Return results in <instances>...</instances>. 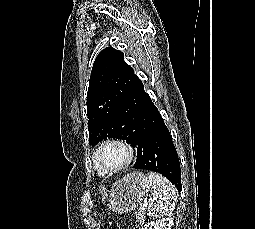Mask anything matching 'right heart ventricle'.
Listing matches in <instances>:
<instances>
[{"label": "right heart ventricle", "instance_id": "right-heart-ventricle-1", "mask_svg": "<svg viewBox=\"0 0 255 229\" xmlns=\"http://www.w3.org/2000/svg\"><path fill=\"white\" fill-rule=\"evenodd\" d=\"M95 168H96L97 172H98L100 175H104V174H105V172H104L100 167L95 166Z\"/></svg>", "mask_w": 255, "mask_h": 229}]
</instances>
